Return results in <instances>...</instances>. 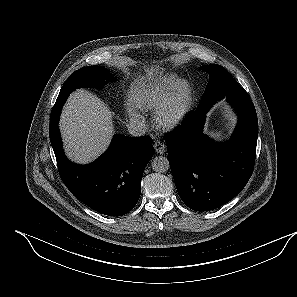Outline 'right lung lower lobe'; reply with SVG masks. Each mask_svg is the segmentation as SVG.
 Instances as JSON below:
<instances>
[{
	"label": "right lung lower lobe",
	"instance_id": "obj_1",
	"mask_svg": "<svg viewBox=\"0 0 297 297\" xmlns=\"http://www.w3.org/2000/svg\"><path fill=\"white\" fill-rule=\"evenodd\" d=\"M51 112L49 136L62 181L80 201L108 216H122L137 203L144 169L153 156L152 139L116 135L108 150L95 162L80 166L62 150L59 116L63 101Z\"/></svg>",
	"mask_w": 297,
	"mask_h": 297
}]
</instances>
